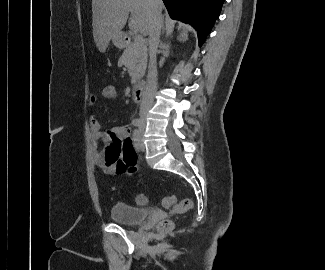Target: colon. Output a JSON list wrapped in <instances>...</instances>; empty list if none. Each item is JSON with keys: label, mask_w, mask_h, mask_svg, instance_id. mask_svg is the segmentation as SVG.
<instances>
[{"label": "colon", "mask_w": 325, "mask_h": 270, "mask_svg": "<svg viewBox=\"0 0 325 270\" xmlns=\"http://www.w3.org/2000/svg\"><path fill=\"white\" fill-rule=\"evenodd\" d=\"M102 97L107 101H113L117 97L116 88L113 85H105L102 89ZM136 202L140 205H144L148 202V198L145 194H138L136 196ZM163 207L176 214H184L189 212L193 207V202L191 199H183L178 201L176 196H167L162 201ZM173 227V221L170 219H165L159 224L160 230H169Z\"/></svg>", "instance_id": "5ec220e1"}]
</instances>
